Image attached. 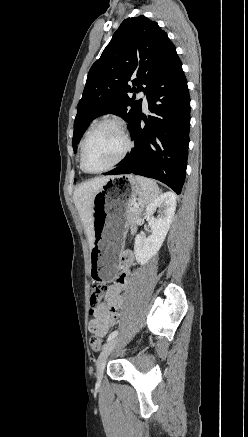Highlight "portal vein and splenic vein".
I'll list each match as a JSON object with an SVG mask.
<instances>
[{"label": "portal vein and splenic vein", "instance_id": "obj_1", "mask_svg": "<svg viewBox=\"0 0 248 437\" xmlns=\"http://www.w3.org/2000/svg\"><path fill=\"white\" fill-rule=\"evenodd\" d=\"M134 207H139V205L138 204H134Z\"/></svg>", "mask_w": 248, "mask_h": 437}]
</instances>
